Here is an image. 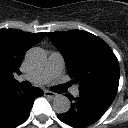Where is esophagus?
Returning <instances> with one entry per match:
<instances>
[{
  "label": "esophagus",
  "mask_w": 128,
  "mask_h": 128,
  "mask_svg": "<svg viewBox=\"0 0 128 128\" xmlns=\"http://www.w3.org/2000/svg\"><path fill=\"white\" fill-rule=\"evenodd\" d=\"M44 95H45L46 97H50V98H52V99H54V98L57 96L56 93L51 92V91H48V90H45V91H44Z\"/></svg>",
  "instance_id": "esophagus-1"
}]
</instances>
